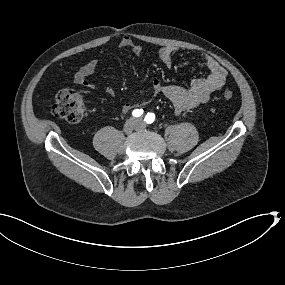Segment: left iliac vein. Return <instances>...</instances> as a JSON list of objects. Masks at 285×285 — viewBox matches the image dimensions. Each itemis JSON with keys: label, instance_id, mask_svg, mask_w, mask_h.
<instances>
[{"label": "left iliac vein", "instance_id": "left-iliac-vein-1", "mask_svg": "<svg viewBox=\"0 0 285 285\" xmlns=\"http://www.w3.org/2000/svg\"><path fill=\"white\" fill-rule=\"evenodd\" d=\"M138 123H140V119H138V121H137Z\"/></svg>", "mask_w": 285, "mask_h": 285}]
</instances>
